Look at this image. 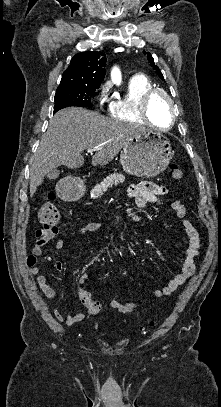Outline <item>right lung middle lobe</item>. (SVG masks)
<instances>
[{
  "label": "right lung middle lobe",
  "instance_id": "right-lung-middle-lobe-1",
  "mask_svg": "<svg viewBox=\"0 0 221 407\" xmlns=\"http://www.w3.org/2000/svg\"><path fill=\"white\" fill-rule=\"evenodd\" d=\"M97 88L87 87H64L57 88L55 94V109L54 113L58 110L69 107H92L90 96L96 91Z\"/></svg>",
  "mask_w": 221,
  "mask_h": 407
}]
</instances>
